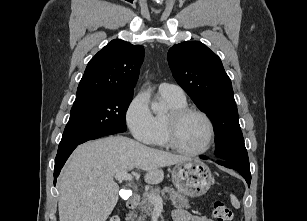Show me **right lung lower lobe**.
I'll use <instances>...</instances> for the list:
<instances>
[{"mask_svg": "<svg viewBox=\"0 0 307 221\" xmlns=\"http://www.w3.org/2000/svg\"><path fill=\"white\" fill-rule=\"evenodd\" d=\"M100 138V137H98ZM93 139H97V138H92L89 140H93ZM88 140H84L80 143L74 144L72 146H69L65 149L62 150H58V153L56 155L55 158V167H54V184L56 183V178L58 177L60 170L62 169L63 165L65 164L66 160L68 159V157L70 156V154L73 152V150L79 145L82 144L84 142H86Z\"/></svg>", "mask_w": 307, "mask_h": 221, "instance_id": "98d812e1", "label": "right lung lower lobe"}]
</instances>
